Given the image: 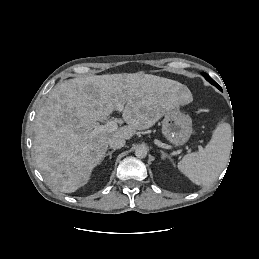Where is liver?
Segmentation results:
<instances>
[{
	"label": "liver",
	"instance_id": "liver-1",
	"mask_svg": "<svg viewBox=\"0 0 259 259\" xmlns=\"http://www.w3.org/2000/svg\"><path fill=\"white\" fill-rule=\"evenodd\" d=\"M181 83L142 73L91 75L55 86L34 120L35 161L54 189L72 193L84 186L104 158L112 138L130 140L166 112L192 101ZM118 103L127 123L114 132L94 133Z\"/></svg>",
	"mask_w": 259,
	"mask_h": 259
}]
</instances>
